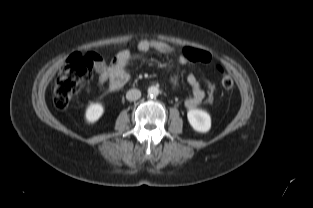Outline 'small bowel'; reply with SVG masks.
Segmentation results:
<instances>
[{
	"mask_svg": "<svg viewBox=\"0 0 313 208\" xmlns=\"http://www.w3.org/2000/svg\"><path fill=\"white\" fill-rule=\"evenodd\" d=\"M137 48L140 52L146 53L149 50H154L160 54H171L174 48L161 41L157 40H141ZM139 56H133L127 49L120 51L115 58L107 64L101 57L94 62V70L98 75L97 86L101 91L114 92L121 88L129 80L128 66ZM184 52L178 57L177 64L180 66L188 63ZM187 82L192 87V94L186 99L185 105L188 108H193L202 103L205 98V92L202 89L197 77L193 73L187 75ZM171 84L173 87L179 85V76L174 72L171 76Z\"/></svg>",
	"mask_w": 313,
	"mask_h": 208,
	"instance_id": "obj_1",
	"label": "small bowel"
}]
</instances>
